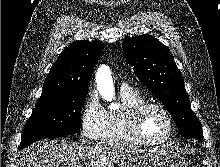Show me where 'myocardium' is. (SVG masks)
<instances>
[{
  "mask_svg": "<svg viewBox=\"0 0 220 167\" xmlns=\"http://www.w3.org/2000/svg\"><path fill=\"white\" fill-rule=\"evenodd\" d=\"M149 108H155L158 109L160 112L163 113V115L166 117L169 125V132L168 134L158 140H149L146 139L140 131V123L142 116ZM127 131L130 136V138L140 145L145 146H160L165 143H167L174 135L175 133V123L174 120L170 114V112L160 103L158 102H152V101H145L140 104H137L134 106L127 114Z\"/></svg>",
  "mask_w": 220,
  "mask_h": 167,
  "instance_id": "f54148a6",
  "label": "myocardium"
}]
</instances>
